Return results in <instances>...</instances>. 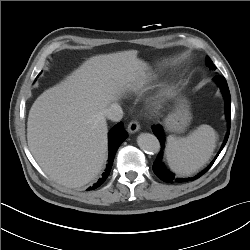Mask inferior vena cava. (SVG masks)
<instances>
[{
	"label": "inferior vena cava",
	"mask_w": 250,
	"mask_h": 250,
	"mask_svg": "<svg viewBox=\"0 0 250 250\" xmlns=\"http://www.w3.org/2000/svg\"><path fill=\"white\" fill-rule=\"evenodd\" d=\"M104 115L107 119L117 122L122 119L123 110L119 104L114 103L104 110Z\"/></svg>",
	"instance_id": "1"
}]
</instances>
